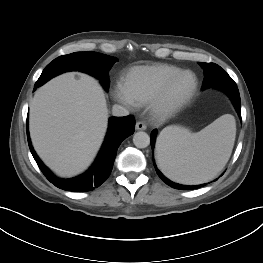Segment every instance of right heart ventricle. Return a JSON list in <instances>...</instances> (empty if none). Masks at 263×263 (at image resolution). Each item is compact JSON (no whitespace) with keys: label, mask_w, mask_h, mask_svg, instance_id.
I'll return each instance as SVG.
<instances>
[{"label":"right heart ventricle","mask_w":263,"mask_h":263,"mask_svg":"<svg viewBox=\"0 0 263 263\" xmlns=\"http://www.w3.org/2000/svg\"><path fill=\"white\" fill-rule=\"evenodd\" d=\"M182 69L170 64H153L131 68L124 77V88L133 104L144 105L166 80Z\"/></svg>","instance_id":"1"}]
</instances>
